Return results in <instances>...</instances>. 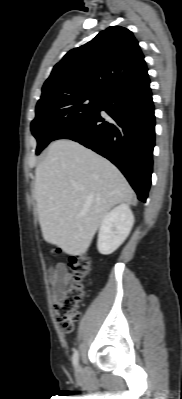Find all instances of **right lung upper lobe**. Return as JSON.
<instances>
[{
  "instance_id": "cb5924a9",
  "label": "right lung upper lobe",
  "mask_w": 182,
  "mask_h": 399,
  "mask_svg": "<svg viewBox=\"0 0 182 399\" xmlns=\"http://www.w3.org/2000/svg\"><path fill=\"white\" fill-rule=\"evenodd\" d=\"M147 70L133 33L124 27L111 26L85 45L70 50L54 66L38 102L77 94L104 96L114 89L146 80Z\"/></svg>"
}]
</instances>
